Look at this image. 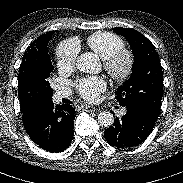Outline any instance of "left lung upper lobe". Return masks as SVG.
I'll return each instance as SVG.
<instances>
[{
    "label": "left lung upper lobe",
    "instance_id": "1",
    "mask_svg": "<svg viewBox=\"0 0 183 183\" xmlns=\"http://www.w3.org/2000/svg\"><path fill=\"white\" fill-rule=\"evenodd\" d=\"M132 47L134 63L131 77L116 91L121 106H134L158 118L163 94V74L153 44L134 29L114 28Z\"/></svg>",
    "mask_w": 183,
    "mask_h": 183
}]
</instances>
